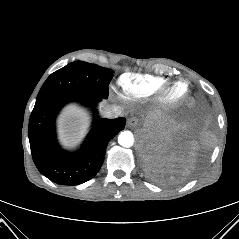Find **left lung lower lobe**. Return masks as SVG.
<instances>
[{
    "label": "left lung lower lobe",
    "instance_id": "obj_1",
    "mask_svg": "<svg viewBox=\"0 0 239 239\" xmlns=\"http://www.w3.org/2000/svg\"><path fill=\"white\" fill-rule=\"evenodd\" d=\"M207 113L200 105L192 106L181 114L176 127L145 137L141 154L149 178L176 184L195 171L203 159L198 141L205 135Z\"/></svg>",
    "mask_w": 239,
    "mask_h": 239
}]
</instances>
